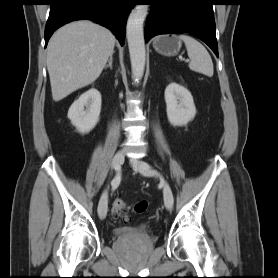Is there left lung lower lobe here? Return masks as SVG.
Wrapping results in <instances>:
<instances>
[{
    "label": "left lung lower lobe",
    "mask_w": 278,
    "mask_h": 278,
    "mask_svg": "<svg viewBox=\"0 0 278 278\" xmlns=\"http://www.w3.org/2000/svg\"><path fill=\"white\" fill-rule=\"evenodd\" d=\"M145 41L159 34L188 32L204 41L218 57L212 5L214 0H152Z\"/></svg>",
    "instance_id": "left-lung-lower-lobe-1"
}]
</instances>
